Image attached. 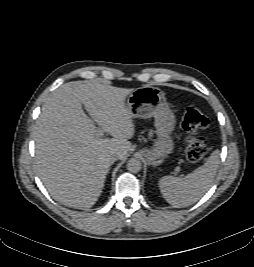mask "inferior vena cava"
I'll return each mask as SVG.
<instances>
[{
	"instance_id": "obj_1",
	"label": "inferior vena cava",
	"mask_w": 254,
	"mask_h": 267,
	"mask_svg": "<svg viewBox=\"0 0 254 267\" xmlns=\"http://www.w3.org/2000/svg\"><path fill=\"white\" fill-rule=\"evenodd\" d=\"M117 159H118V155L117 154L112 155L111 158H110L112 163L115 162Z\"/></svg>"
}]
</instances>
